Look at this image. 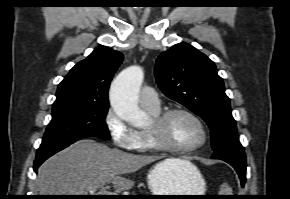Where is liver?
<instances>
[{
  "label": "liver",
  "mask_w": 290,
  "mask_h": 199,
  "mask_svg": "<svg viewBox=\"0 0 290 199\" xmlns=\"http://www.w3.org/2000/svg\"><path fill=\"white\" fill-rule=\"evenodd\" d=\"M160 159L159 156L136 155L92 139H82L46 160L38 170L40 195H94L107 183L117 191L129 190L134 181L124 174L134 173ZM171 168L191 165L187 160L168 158Z\"/></svg>",
  "instance_id": "liver-1"
}]
</instances>
